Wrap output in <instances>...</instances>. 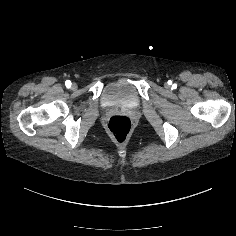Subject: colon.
<instances>
[{
  "label": "colon",
  "instance_id": "1",
  "mask_svg": "<svg viewBox=\"0 0 236 236\" xmlns=\"http://www.w3.org/2000/svg\"><path fill=\"white\" fill-rule=\"evenodd\" d=\"M107 131L117 142L123 143L132 132V121L126 115H114L108 120Z\"/></svg>",
  "mask_w": 236,
  "mask_h": 236
}]
</instances>
